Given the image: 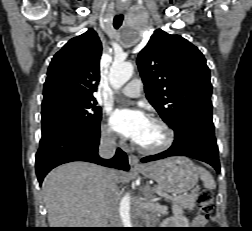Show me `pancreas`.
Instances as JSON below:
<instances>
[{
  "label": "pancreas",
  "mask_w": 252,
  "mask_h": 231,
  "mask_svg": "<svg viewBox=\"0 0 252 231\" xmlns=\"http://www.w3.org/2000/svg\"><path fill=\"white\" fill-rule=\"evenodd\" d=\"M154 191L159 192L158 187L154 189ZM198 194L197 193H191L186 196H183L179 199H171L173 204L180 206L185 209L193 210L195 207V203L197 200Z\"/></svg>",
  "instance_id": "pancreas-1"
}]
</instances>
